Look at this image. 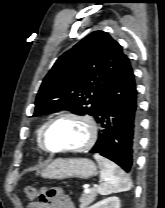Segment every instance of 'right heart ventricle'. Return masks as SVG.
<instances>
[{
  "mask_svg": "<svg viewBox=\"0 0 165 208\" xmlns=\"http://www.w3.org/2000/svg\"><path fill=\"white\" fill-rule=\"evenodd\" d=\"M47 121H48V120H46L45 122H43V123L41 124V126H40V127L38 128V130H37V134H36V142H37V145H38V147H39L40 149H42L41 143H40V135H41V132H42V130H43L45 124L47 123Z\"/></svg>",
  "mask_w": 165,
  "mask_h": 208,
  "instance_id": "obj_1",
  "label": "right heart ventricle"
}]
</instances>
